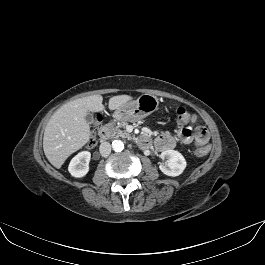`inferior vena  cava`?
<instances>
[{
    "label": "inferior vena cava",
    "mask_w": 265,
    "mask_h": 265,
    "mask_svg": "<svg viewBox=\"0 0 265 265\" xmlns=\"http://www.w3.org/2000/svg\"><path fill=\"white\" fill-rule=\"evenodd\" d=\"M100 154L103 157H108L111 153V145L109 142H102L99 147Z\"/></svg>",
    "instance_id": "inferior-vena-cava-1"
}]
</instances>
